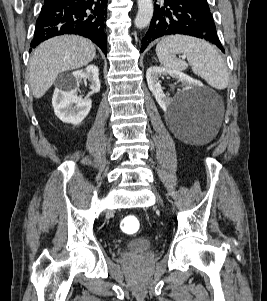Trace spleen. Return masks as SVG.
<instances>
[{"instance_id":"1","label":"spleen","mask_w":267,"mask_h":301,"mask_svg":"<svg viewBox=\"0 0 267 301\" xmlns=\"http://www.w3.org/2000/svg\"><path fill=\"white\" fill-rule=\"evenodd\" d=\"M186 55L193 73L203 78L217 90L225 89L229 84L227 66L217 49L210 43L187 35H171L162 39L156 46V55L161 65L167 69L183 71L188 64L174 57V54Z\"/></svg>"}]
</instances>
